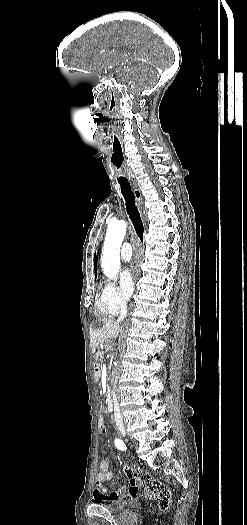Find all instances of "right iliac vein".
<instances>
[{
    "label": "right iliac vein",
    "instance_id": "1",
    "mask_svg": "<svg viewBox=\"0 0 247 525\" xmlns=\"http://www.w3.org/2000/svg\"><path fill=\"white\" fill-rule=\"evenodd\" d=\"M118 428H119V431L121 432V434H122L123 436H126V430H125V427H124L123 425H121V426H119Z\"/></svg>",
    "mask_w": 247,
    "mask_h": 525
}]
</instances>
